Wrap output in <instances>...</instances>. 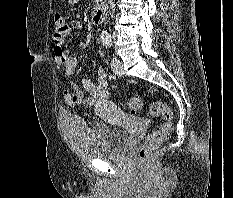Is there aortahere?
<instances>
[{"mask_svg": "<svg viewBox=\"0 0 233 198\" xmlns=\"http://www.w3.org/2000/svg\"><path fill=\"white\" fill-rule=\"evenodd\" d=\"M101 40L103 42L111 40V35L107 31L101 32Z\"/></svg>", "mask_w": 233, "mask_h": 198, "instance_id": "1", "label": "aorta"}]
</instances>
